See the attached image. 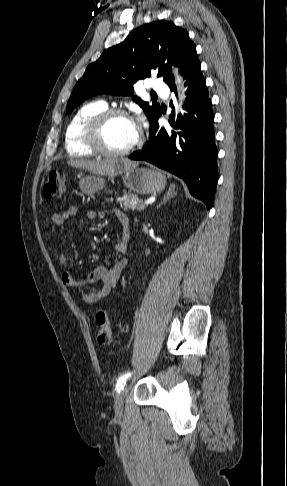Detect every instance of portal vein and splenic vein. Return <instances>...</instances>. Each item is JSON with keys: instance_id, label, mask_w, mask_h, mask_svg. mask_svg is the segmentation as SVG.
Masks as SVG:
<instances>
[{"instance_id": "1", "label": "portal vein and splenic vein", "mask_w": 287, "mask_h": 486, "mask_svg": "<svg viewBox=\"0 0 287 486\" xmlns=\"http://www.w3.org/2000/svg\"><path fill=\"white\" fill-rule=\"evenodd\" d=\"M147 203H141L142 207H145Z\"/></svg>"}]
</instances>
